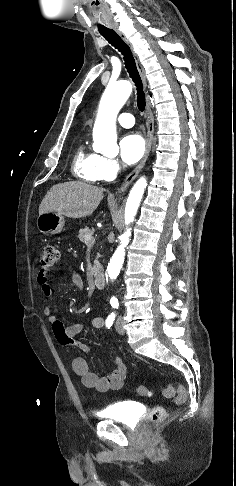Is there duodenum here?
Wrapping results in <instances>:
<instances>
[{
    "mask_svg": "<svg viewBox=\"0 0 236 486\" xmlns=\"http://www.w3.org/2000/svg\"><path fill=\"white\" fill-rule=\"evenodd\" d=\"M105 274L103 272H97L94 276V284L96 288L103 289L105 287Z\"/></svg>",
    "mask_w": 236,
    "mask_h": 486,
    "instance_id": "410a0bca",
    "label": "duodenum"
}]
</instances>
